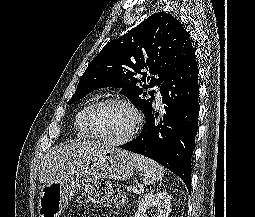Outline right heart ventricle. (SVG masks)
<instances>
[{"instance_id": "right-heart-ventricle-1", "label": "right heart ventricle", "mask_w": 255, "mask_h": 217, "mask_svg": "<svg viewBox=\"0 0 255 217\" xmlns=\"http://www.w3.org/2000/svg\"><path fill=\"white\" fill-rule=\"evenodd\" d=\"M90 106L91 105L89 104V105H85L84 107H82L79 110V112L76 114L75 119H74V127L77 131L78 137L81 139H85V140H90V139L94 138L88 131L86 124H85V115H86V112Z\"/></svg>"}]
</instances>
